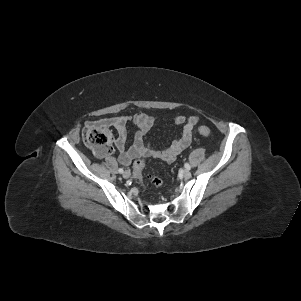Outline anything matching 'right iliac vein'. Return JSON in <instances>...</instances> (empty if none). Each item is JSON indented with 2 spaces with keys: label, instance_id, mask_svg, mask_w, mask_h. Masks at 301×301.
Listing matches in <instances>:
<instances>
[{
  "label": "right iliac vein",
  "instance_id": "obj_1",
  "mask_svg": "<svg viewBox=\"0 0 301 301\" xmlns=\"http://www.w3.org/2000/svg\"><path fill=\"white\" fill-rule=\"evenodd\" d=\"M130 175H131V173H130L129 170H125V171L123 172V177H124V178H129Z\"/></svg>",
  "mask_w": 301,
  "mask_h": 301
}]
</instances>
